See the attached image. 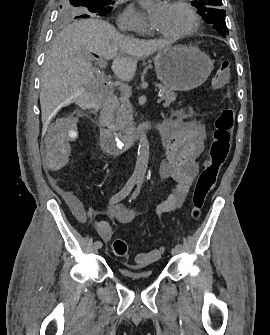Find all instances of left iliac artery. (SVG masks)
Returning a JSON list of instances; mask_svg holds the SVG:
<instances>
[{
	"instance_id": "left-iliac-artery-1",
	"label": "left iliac artery",
	"mask_w": 270,
	"mask_h": 335,
	"mask_svg": "<svg viewBox=\"0 0 270 335\" xmlns=\"http://www.w3.org/2000/svg\"><path fill=\"white\" fill-rule=\"evenodd\" d=\"M140 188H141V182H138V187H137V189L135 190V192L132 194V196H131V200H133V199H135L136 198V196L139 194V192H140ZM130 200V201H131ZM175 248H177V249H179V250H182L183 249V247H182V245L181 244H176V246H175Z\"/></svg>"
}]
</instances>
